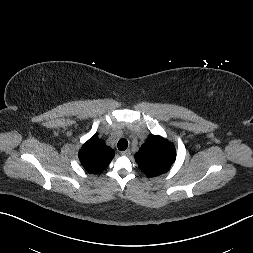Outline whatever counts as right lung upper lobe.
Listing matches in <instances>:
<instances>
[{"label": "right lung upper lobe", "mask_w": 253, "mask_h": 253, "mask_svg": "<svg viewBox=\"0 0 253 253\" xmlns=\"http://www.w3.org/2000/svg\"><path fill=\"white\" fill-rule=\"evenodd\" d=\"M114 155V151L103 140L99 139L96 134L79 151V159L82 166L93 174L103 171Z\"/></svg>", "instance_id": "1"}]
</instances>
